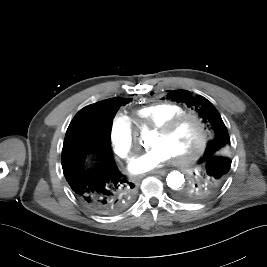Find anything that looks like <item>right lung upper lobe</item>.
<instances>
[{
    "mask_svg": "<svg viewBox=\"0 0 267 267\" xmlns=\"http://www.w3.org/2000/svg\"><path fill=\"white\" fill-rule=\"evenodd\" d=\"M129 101H130V99L111 98V99H107V100L86 106L77 113V115L73 119V122L84 115H93V116L101 115L103 117V110L108 104L116 103V102L128 103ZM105 128H106V125H104V129Z\"/></svg>",
    "mask_w": 267,
    "mask_h": 267,
    "instance_id": "cb5924a9",
    "label": "right lung upper lobe"
}]
</instances>
